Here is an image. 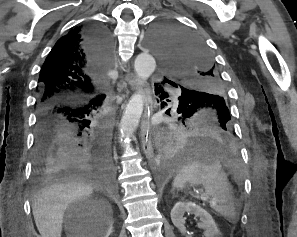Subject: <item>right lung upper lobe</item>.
I'll use <instances>...</instances> for the list:
<instances>
[{"instance_id": "right-lung-upper-lobe-1", "label": "right lung upper lobe", "mask_w": 297, "mask_h": 237, "mask_svg": "<svg viewBox=\"0 0 297 237\" xmlns=\"http://www.w3.org/2000/svg\"><path fill=\"white\" fill-rule=\"evenodd\" d=\"M76 27L50 51L39 76L38 108L53 103H79L98 95L107 65L96 63L87 46V28Z\"/></svg>"}]
</instances>
